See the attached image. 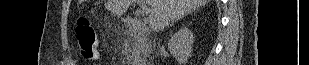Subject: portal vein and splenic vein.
<instances>
[{
	"label": "portal vein and splenic vein",
	"instance_id": "18ae733b",
	"mask_svg": "<svg viewBox=\"0 0 309 65\" xmlns=\"http://www.w3.org/2000/svg\"><path fill=\"white\" fill-rule=\"evenodd\" d=\"M150 13V8L146 4L142 3L141 5V14L147 16Z\"/></svg>",
	"mask_w": 309,
	"mask_h": 65
}]
</instances>
